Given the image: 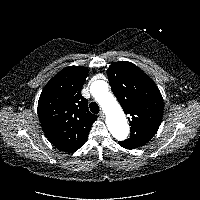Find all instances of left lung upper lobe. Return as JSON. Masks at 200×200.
Returning <instances> with one entry per match:
<instances>
[{
	"mask_svg": "<svg viewBox=\"0 0 200 200\" xmlns=\"http://www.w3.org/2000/svg\"><path fill=\"white\" fill-rule=\"evenodd\" d=\"M107 75L114 95L124 112L131 116L130 138L119 143L126 149L148 143L157 132L163 116V99L158 87L130 62L112 63Z\"/></svg>",
	"mask_w": 200,
	"mask_h": 200,
	"instance_id": "left-lung-upper-lobe-1",
	"label": "left lung upper lobe"
}]
</instances>
